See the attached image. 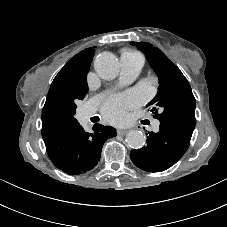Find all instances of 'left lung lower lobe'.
Returning a JSON list of instances; mask_svg holds the SVG:
<instances>
[{"instance_id": "obj_1", "label": "left lung lower lobe", "mask_w": 227, "mask_h": 227, "mask_svg": "<svg viewBox=\"0 0 227 227\" xmlns=\"http://www.w3.org/2000/svg\"><path fill=\"white\" fill-rule=\"evenodd\" d=\"M194 127L176 120H160L159 132H148L147 145L130 152L132 162L148 172L170 168L188 149Z\"/></svg>"}]
</instances>
